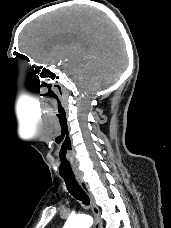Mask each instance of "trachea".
<instances>
[{
	"label": "trachea",
	"instance_id": "obj_1",
	"mask_svg": "<svg viewBox=\"0 0 171 228\" xmlns=\"http://www.w3.org/2000/svg\"><path fill=\"white\" fill-rule=\"evenodd\" d=\"M65 183L67 190L69 193L79 201H82L84 205H89V197L84 192V190L80 187L78 182L76 181L74 176H62Z\"/></svg>",
	"mask_w": 171,
	"mask_h": 228
}]
</instances>
